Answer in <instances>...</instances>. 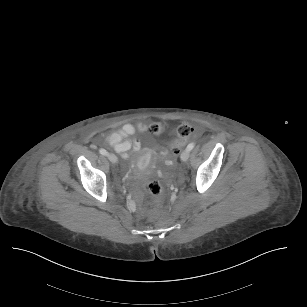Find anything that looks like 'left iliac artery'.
Wrapping results in <instances>:
<instances>
[{
    "instance_id": "44dca946",
    "label": "left iliac artery",
    "mask_w": 307,
    "mask_h": 307,
    "mask_svg": "<svg viewBox=\"0 0 307 307\" xmlns=\"http://www.w3.org/2000/svg\"><path fill=\"white\" fill-rule=\"evenodd\" d=\"M195 144L194 143H190L188 146H187V150H192L194 148Z\"/></svg>"
}]
</instances>
